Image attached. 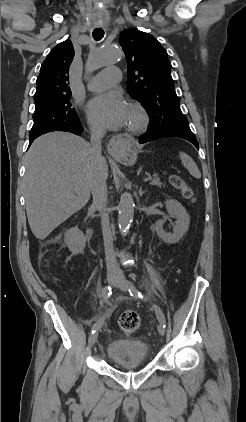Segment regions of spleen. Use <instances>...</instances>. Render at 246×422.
<instances>
[{
  "mask_svg": "<svg viewBox=\"0 0 246 422\" xmlns=\"http://www.w3.org/2000/svg\"><path fill=\"white\" fill-rule=\"evenodd\" d=\"M180 159L182 161L183 166L188 169L189 173L193 177L197 179L201 178V173L196 163L193 161V159L189 155H187L184 152H180Z\"/></svg>",
  "mask_w": 246,
  "mask_h": 422,
  "instance_id": "obj_1",
  "label": "spleen"
}]
</instances>
